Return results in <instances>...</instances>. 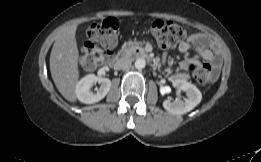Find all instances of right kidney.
<instances>
[{
	"mask_svg": "<svg viewBox=\"0 0 261 162\" xmlns=\"http://www.w3.org/2000/svg\"><path fill=\"white\" fill-rule=\"evenodd\" d=\"M100 83L99 88L92 90L95 83ZM111 88V81L108 78H99L94 74L83 77L75 88V93L79 101L85 104H93L102 100Z\"/></svg>",
	"mask_w": 261,
	"mask_h": 162,
	"instance_id": "ca27d5eb",
	"label": "right kidney"
}]
</instances>
